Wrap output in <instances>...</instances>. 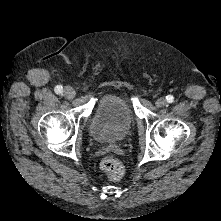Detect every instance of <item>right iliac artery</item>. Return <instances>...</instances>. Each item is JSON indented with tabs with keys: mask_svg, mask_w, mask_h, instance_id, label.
<instances>
[{
	"mask_svg": "<svg viewBox=\"0 0 221 221\" xmlns=\"http://www.w3.org/2000/svg\"><path fill=\"white\" fill-rule=\"evenodd\" d=\"M63 92V87L62 86H56L55 87V93L57 94H61Z\"/></svg>",
	"mask_w": 221,
	"mask_h": 221,
	"instance_id": "1",
	"label": "right iliac artery"
}]
</instances>
